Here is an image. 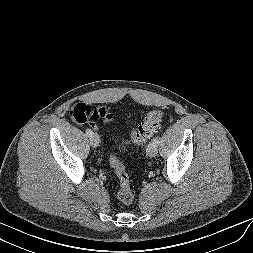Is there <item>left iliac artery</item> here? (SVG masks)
<instances>
[{
    "instance_id": "obj_1",
    "label": "left iliac artery",
    "mask_w": 253,
    "mask_h": 253,
    "mask_svg": "<svg viewBox=\"0 0 253 253\" xmlns=\"http://www.w3.org/2000/svg\"><path fill=\"white\" fill-rule=\"evenodd\" d=\"M152 143L157 147V146L159 145V143H160L159 138H158V137H155V138L153 139Z\"/></svg>"
}]
</instances>
